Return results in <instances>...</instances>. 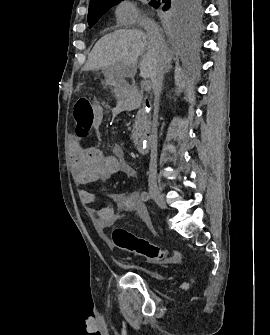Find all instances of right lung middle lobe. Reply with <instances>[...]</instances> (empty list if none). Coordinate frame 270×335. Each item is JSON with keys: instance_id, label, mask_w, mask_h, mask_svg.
I'll use <instances>...</instances> for the list:
<instances>
[{"instance_id": "1", "label": "right lung middle lobe", "mask_w": 270, "mask_h": 335, "mask_svg": "<svg viewBox=\"0 0 270 335\" xmlns=\"http://www.w3.org/2000/svg\"><path fill=\"white\" fill-rule=\"evenodd\" d=\"M120 1L121 0L98 6H89V27H92L112 6ZM170 1L171 0L165 5V2L161 0H151L149 5L156 9L162 6L164 11L170 9L165 19L172 26L181 29H191L198 25L202 15L204 0H174L172 3Z\"/></svg>"}]
</instances>
